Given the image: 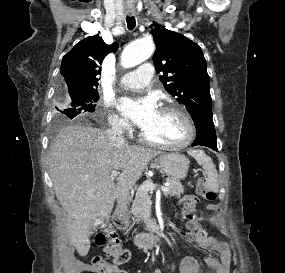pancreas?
I'll return each instance as SVG.
<instances>
[{
	"label": "pancreas",
	"instance_id": "obj_1",
	"mask_svg": "<svg viewBox=\"0 0 285 273\" xmlns=\"http://www.w3.org/2000/svg\"><path fill=\"white\" fill-rule=\"evenodd\" d=\"M166 181L169 183V191L166 192L169 196L179 197L184 192V187L180 181L174 180L172 178H167ZM151 180H148L146 183H150ZM150 203V196L148 191L137 189L135 200L131 207V213L138 221L144 220V214L147 212L148 205Z\"/></svg>",
	"mask_w": 285,
	"mask_h": 273
}]
</instances>
